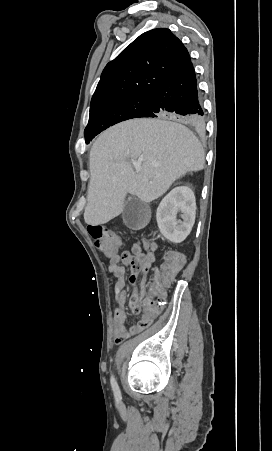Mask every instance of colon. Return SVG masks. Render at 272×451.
Here are the masks:
<instances>
[{"instance_id": "colon-1", "label": "colon", "mask_w": 272, "mask_h": 451, "mask_svg": "<svg viewBox=\"0 0 272 451\" xmlns=\"http://www.w3.org/2000/svg\"><path fill=\"white\" fill-rule=\"evenodd\" d=\"M88 231L96 246L103 250L104 256L116 255V248L120 240L116 232L99 225L88 226ZM164 257L167 261L161 264V274L160 272L156 274V280L151 283L153 288H142L138 298L140 304H135L132 308L134 314L139 313L141 310H156L161 304L170 303V294H167V288L164 287L170 286L175 276V271L184 270V263L180 259L182 254L178 253V251H165ZM119 260L124 267L132 270L147 271L149 269L148 258H137L135 254L129 251L119 253ZM119 260L115 258L109 261V269L111 271H116L120 268ZM148 325L149 321L140 320L130 331L139 332ZM127 336L128 332H120L116 335V341L120 342Z\"/></svg>"}]
</instances>
